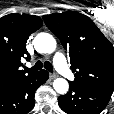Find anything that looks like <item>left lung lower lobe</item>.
Wrapping results in <instances>:
<instances>
[{"mask_svg":"<svg viewBox=\"0 0 114 114\" xmlns=\"http://www.w3.org/2000/svg\"><path fill=\"white\" fill-rule=\"evenodd\" d=\"M112 92L70 82L69 92L58 97L59 107L67 114H99L107 105Z\"/></svg>","mask_w":114,"mask_h":114,"instance_id":"0a47b994","label":"left lung lower lobe"}]
</instances>
